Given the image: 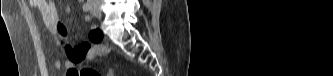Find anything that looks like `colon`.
Returning a JSON list of instances; mask_svg holds the SVG:
<instances>
[{
	"instance_id": "obj_1",
	"label": "colon",
	"mask_w": 333,
	"mask_h": 76,
	"mask_svg": "<svg viewBox=\"0 0 333 76\" xmlns=\"http://www.w3.org/2000/svg\"><path fill=\"white\" fill-rule=\"evenodd\" d=\"M101 35V34H100ZM81 70V75L82 76H101V74L95 70V69H92V68H82L80 69ZM108 75L109 76H113L114 75V71L113 70H110L108 72Z\"/></svg>"
}]
</instances>
